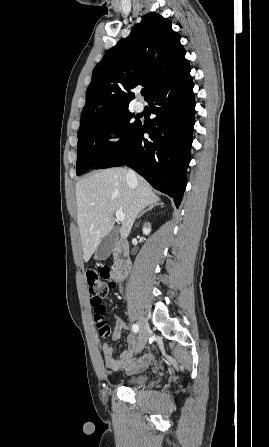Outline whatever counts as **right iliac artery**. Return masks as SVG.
Listing matches in <instances>:
<instances>
[{
	"instance_id": "82829eb1",
	"label": "right iliac artery",
	"mask_w": 269,
	"mask_h": 447,
	"mask_svg": "<svg viewBox=\"0 0 269 447\" xmlns=\"http://www.w3.org/2000/svg\"><path fill=\"white\" fill-rule=\"evenodd\" d=\"M132 329L135 333L139 331V326L137 324H133Z\"/></svg>"
}]
</instances>
